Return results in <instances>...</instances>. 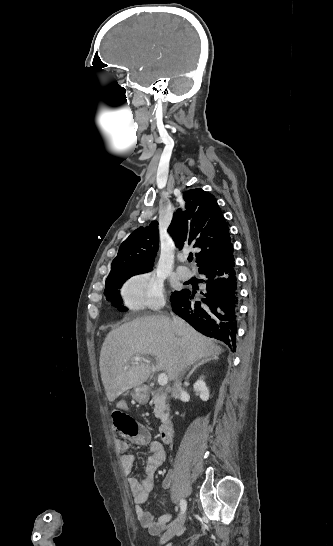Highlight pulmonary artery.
I'll list each match as a JSON object with an SVG mask.
<instances>
[{"mask_svg":"<svg viewBox=\"0 0 333 546\" xmlns=\"http://www.w3.org/2000/svg\"><path fill=\"white\" fill-rule=\"evenodd\" d=\"M181 261H184V258H182ZM176 272L182 280H188L192 277V271L188 267L183 265H179L176 268Z\"/></svg>","mask_w":333,"mask_h":546,"instance_id":"obj_1","label":"pulmonary artery"}]
</instances>
